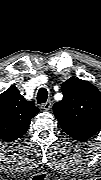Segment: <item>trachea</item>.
<instances>
[{"label": "trachea", "instance_id": "trachea-1", "mask_svg": "<svg viewBox=\"0 0 101 180\" xmlns=\"http://www.w3.org/2000/svg\"><path fill=\"white\" fill-rule=\"evenodd\" d=\"M48 98V91L46 88H40L38 93H37V103L38 104H43L47 101Z\"/></svg>", "mask_w": 101, "mask_h": 180}]
</instances>
